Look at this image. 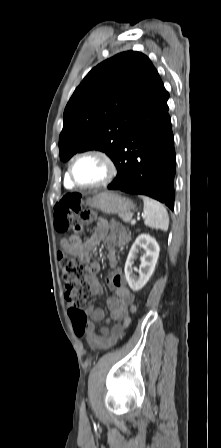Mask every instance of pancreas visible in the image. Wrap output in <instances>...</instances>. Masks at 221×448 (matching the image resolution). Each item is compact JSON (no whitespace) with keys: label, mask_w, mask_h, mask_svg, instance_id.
Returning a JSON list of instances; mask_svg holds the SVG:
<instances>
[{"label":"pancreas","mask_w":221,"mask_h":448,"mask_svg":"<svg viewBox=\"0 0 221 448\" xmlns=\"http://www.w3.org/2000/svg\"><path fill=\"white\" fill-rule=\"evenodd\" d=\"M119 216L124 222H129L131 219V215L120 214Z\"/></svg>","instance_id":"cf45deb5"}]
</instances>
